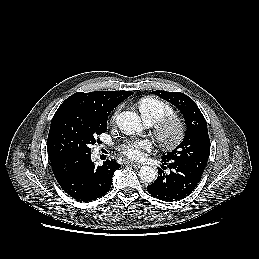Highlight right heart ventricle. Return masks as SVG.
I'll use <instances>...</instances> for the list:
<instances>
[{
  "mask_svg": "<svg viewBox=\"0 0 259 259\" xmlns=\"http://www.w3.org/2000/svg\"><path fill=\"white\" fill-rule=\"evenodd\" d=\"M138 108L145 122L152 125L164 116L174 113L173 107L163 99L147 96L138 101Z\"/></svg>",
  "mask_w": 259,
  "mask_h": 259,
  "instance_id": "right-heart-ventricle-1",
  "label": "right heart ventricle"
}]
</instances>
